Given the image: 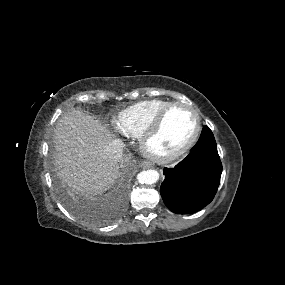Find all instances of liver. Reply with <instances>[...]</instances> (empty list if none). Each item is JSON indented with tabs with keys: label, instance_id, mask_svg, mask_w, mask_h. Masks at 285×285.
<instances>
[{
	"label": "liver",
	"instance_id": "1",
	"mask_svg": "<svg viewBox=\"0 0 285 285\" xmlns=\"http://www.w3.org/2000/svg\"><path fill=\"white\" fill-rule=\"evenodd\" d=\"M55 163L59 176L72 191L96 195L119 176L111 159L113 134L98 120L79 110L64 114L54 131Z\"/></svg>",
	"mask_w": 285,
	"mask_h": 285
}]
</instances>
